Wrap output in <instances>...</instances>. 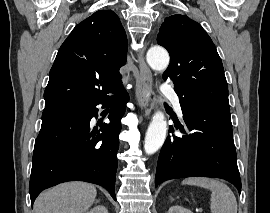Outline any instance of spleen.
<instances>
[{
	"label": "spleen",
	"mask_w": 270,
	"mask_h": 213,
	"mask_svg": "<svg viewBox=\"0 0 270 213\" xmlns=\"http://www.w3.org/2000/svg\"><path fill=\"white\" fill-rule=\"evenodd\" d=\"M182 185H194L211 190V213H237L236 197L223 182L205 177H190L182 181Z\"/></svg>",
	"instance_id": "spleen-1"
}]
</instances>
